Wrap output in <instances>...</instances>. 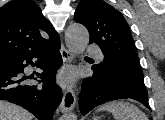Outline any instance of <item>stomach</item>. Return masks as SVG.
I'll return each mask as SVG.
<instances>
[{"label":"stomach","instance_id":"obj_1","mask_svg":"<svg viewBox=\"0 0 165 120\" xmlns=\"http://www.w3.org/2000/svg\"><path fill=\"white\" fill-rule=\"evenodd\" d=\"M94 120H99L98 118H95Z\"/></svg>","mask_w":165,"mask_h":120}]
</instances>
